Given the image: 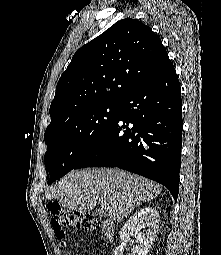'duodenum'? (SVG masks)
<instances>
[{
    "mask_svg": "<svg viewBox=\"0 0 221 255\" xmlns=\"http://www.w3.org/2000/svg\"><path fill=\"white\" fill-rule=\"evenodd\" d=\"M102 231L109 240H112L114 235V226L110 221L105 220L102 222Z\"/></svg>",
    "mask_w": 221,
    "mask_h": 255,
    "instance_id": "obj_1",
    "label": "duodenum"
}]
</instances>
